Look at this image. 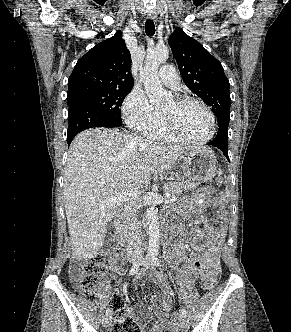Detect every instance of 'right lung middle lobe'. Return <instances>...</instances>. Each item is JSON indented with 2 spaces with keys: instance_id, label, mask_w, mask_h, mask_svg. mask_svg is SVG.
Here are the masks:
<instances>
[{
  "instance_id": "right-lung-middle-lobe-1",
  "label": "right lung middle lobe",
  "mask_w": 291,
  "mask_h": 332,
  "mask_svg": "<svg viewBox=\"0 0 291 332\" xmlns=\"http://www.w3.org/2000/svg\"><path fill=\"white\" fill-rule=\"evenodd\" d=\"M130 91L131 88H122L86 92L68 97L67 104L71 107L78 102L89 103L110 116L118 126H122L120 106Z\"/></svg>"
}]
</instances>
